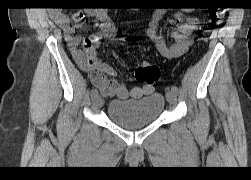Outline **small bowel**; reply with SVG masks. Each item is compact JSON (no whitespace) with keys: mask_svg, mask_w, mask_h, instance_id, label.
Returning <instances> with one entry per match:
<instances>
[{"mask_svg":"<svg viewBox=\"0 0 251 180\" xmlns=\"http://www.w3.org/2000/svg\"><path fill=\"white\" fill-rule=\"evenodd\" d=\"M165 13L166 10L164 9H159L155 12L147 34L154 41L163 57L173 59L181 56L189 49L192 43L191 34L197 29L199 19L193 16L186 17L179 12L174 13L177 29L171 34L172 42L168 43L157 31ZM84 15L91 16L96 20V31L81 41L76 35L71 22L81 20ZM55 20L64 32L73 59L82 69L89 73L92 84L102 95L105 97L116 96L121 100L128 97L140 99L154 91V87L150 85L129 89L114 78L116 72L113 67L97 57L96 48L100 41L115 34L114 23L105 10L88 9L76 12L71 16L58 13L55 16Z\"/></svg>","mask_w":251,"mask_h":180,"instance_id":"obj_1","label":"small bowel"}]
</instances>
